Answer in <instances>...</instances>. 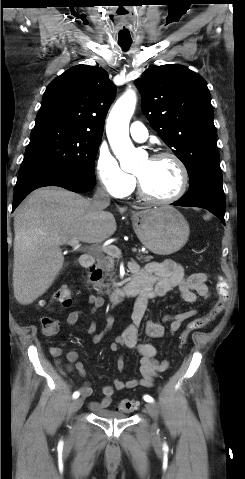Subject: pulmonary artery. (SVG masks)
<instances>
[{"mask_svg":"<svg viewBox=\"0 0 245 479\" xmlns=\"http://www.w3.org/2000/svg\"><path fill=\"white\" fill-rule=\"evenodd\" d=\"M129 132L131 137L137 142H143L148 137L147 128L139 121H135L130 125Z\"/></svg>","mask_w":245,"mask_h":479,"instance_id":"obj_1","label":"pulmonary artery"}]
</instances>
